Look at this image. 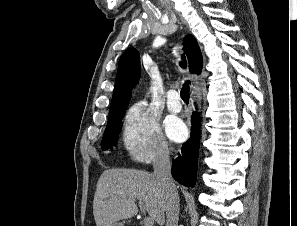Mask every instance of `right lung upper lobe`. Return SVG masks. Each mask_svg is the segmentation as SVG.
I'll return each mask as SVG.
<instances>
[{
  "label": "right lung upper lobe",
  "mask_w": 297,
  "mask_h": 226,
  "mask_svg": "<svg viewBox=\"0 0 297 226\" xmlns=\"http://www.w3.org/2000/svg\"><path fill=\"white\" fill-rule=\"evenodd\" d=\"M183 49L189 61L191 73L200 74L202 69V55L196 39L192 35L184 38ZM140 78V58L135 48H128L119 60L115 88L110 108L128 106L134 85Z\"/></svg>",
  "instance_id": "1"
}]
</instances>
